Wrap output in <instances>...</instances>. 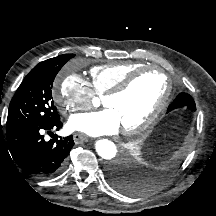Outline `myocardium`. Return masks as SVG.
I'll list each match as a JSON object with an SVG mask.
<instances>
[{"label": "myocardium", "mask_w": 216, "mask_h": 216, "mask_svg": "<svg viewBox=\"0 0 216 216\" xmlns=\"http://www.w3.org/2000/svg\"><path fill=\"white\" fill-rule=\"evenodd\" d=\"M149 71H158L163 76L165 80L164 94L161 100L159 101L158 105L155 107V109L143 121H141L139 124L135 126L122 129V132L125 135L139 134L147 130L160 117V115L166 110L169 104V101H170L171 93H172V84H171L169 76L164 70H162L161 68L157 66H154V65L141 66L131 71L130 73H128L125 77H123V79L116 86H114L112 89H110L104 94L103 100H106L110 97H116V96L122 95L129 89L131 84L134 82V80L138 76L146 72H149Z\"/></svg>", "instance_id": "obj_1"}]
</instances>
